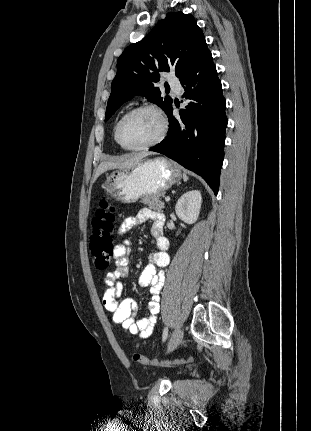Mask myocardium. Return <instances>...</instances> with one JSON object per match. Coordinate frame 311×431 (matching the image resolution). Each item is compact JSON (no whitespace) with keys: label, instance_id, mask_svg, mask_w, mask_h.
<instances>
[{"label":"myocardium","instance_id":"obj_1","mask_svg":"<svg viewBox=\"0 0 311 431\" xmlns=\"http://www.w3.org/2000/svg\"><path fill=\"white\" fill-rule=\"evenodd\" d=\"M145 110L152 111L159 117V119L161 121V132L153 141H151L145 145L137 146V147L127 146L122 140L121 133H120V126H121L122 122L127 117H129L130 115H132L136 112L145 111ZM167 132H168V120H167L165 114L158 107H156L153 104H142V105H138L136 107H133V108L127 110L118 118V120L115 124V127H114V133H115V136H116V139H117L119 145L122 148H124L125 150H129V151H140V150H146V149L152 148V147L158 145L165 138V136L167 135Z\"/></svg>","mask_w":311,"mask_h":431}]
</instances>
